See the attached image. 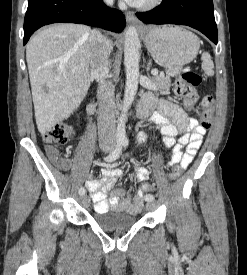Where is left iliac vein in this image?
<instances>
[{
	"label": "left iliac vein",
	"instance_id": "obj_1",
	"mask_svg": "<svg viewBox=\"0 0 247 275\" xmlns=\"http://www.w3.org/2000/svg\"><path fill=\"white\" fill-rule=\"evenodd\" d=\"M156 208V202L155 201H147L146 203V209L149 211H152Z\"/></svg>",
	"mask_w": 247,
	"mask_h": 275
}]
</instances>
